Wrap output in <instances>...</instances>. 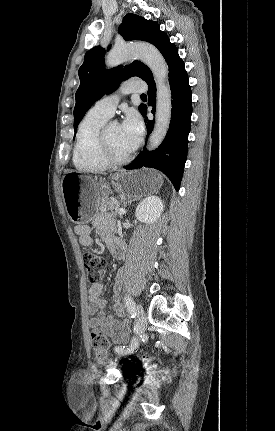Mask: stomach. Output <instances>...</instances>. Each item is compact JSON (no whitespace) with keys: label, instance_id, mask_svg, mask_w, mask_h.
Masks as SVG:
<instances>
[{"label":"stomach","instance_id":"1","mask_svg":"<svg viewBox=\"0 0 275 431\" xmlns=\"http://www.w3.org/2000/svg\"><path fill=\"white\" fill-rule=\"evenodd\" d=\"M163 184L160 173L151 169L118 171L111 177L112 187L129 197H140L158 191ZM61 191L69 219L76 224L89 222L98 209L100 195L107 196L110 186L97 183L74 172L66 173L61 180Z\"/></svg>","mask_w":275,"mask_h":431}]
</instances>
